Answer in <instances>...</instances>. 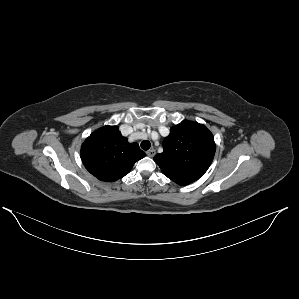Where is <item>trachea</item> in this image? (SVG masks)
Returning <instances> with one entry per match:
<instances>
[{"mask_svg": "<svg viewBox=\"0 0 299 299\" xmlns=\"http://www.w3.org/2000/svg\"><path fill=\"white\" fill-rule=\"evenodd\" d=\"M151 147V143L148 140H144L141 142V148L143 150H148Z\"/></svg>", "mask_w": 299, "mask_h": 299, "instance_id": "1", "label": "trachea"}]
</instances>
